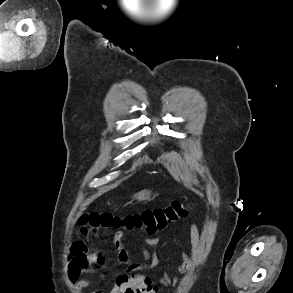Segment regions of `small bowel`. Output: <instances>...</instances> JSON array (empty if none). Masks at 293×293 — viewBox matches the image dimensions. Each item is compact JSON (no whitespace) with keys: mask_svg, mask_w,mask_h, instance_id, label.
Segmentation results:
<instances>
[{"mask_svg":"<svg viewBox=\"0 0 293 293\" xmlns=\"http://www.w3.org/2000/svg\"><path fill=\"white\" fill-rule=\"evenodd\" d=\"M209 221L206 220V223ZM167 226V225H166ZM166 226L146 231L142 235L144 241L151 247L156 248L159 245V239L153 235L156 232L162 231ZM129 234L123 231L117 232L110 236V241L113 243L112 249H101L90 243L92 239L77 240L70 246L67 267V279L74 286L77 291H82L93 287L98 281H91L87 279H80L82 274H94L95 268L106 270L110 262L115 265L124 264L130 270H136L140 267L132 263L129 259L127 250L123 245V240ZM189 235L191 249L190 252L182 251L180 253L181 263L176 267L179 273L184 272L194 261L199 259L202 253L201 249V233L197 225H189ZM141 255L145 264L149 268H155L159 264L158 257L155 252L149 253L146 249L140 248ZM178 279L170 275L164 274L159 279V284L163 286H174ZM158 284L152 282L149 278L141 275H126L121 274L116 278L115 283L107 290H94L91 293H157Z\"/></svg>","mask_w":293,"mask_h":293,"instance_id":"obj_1","label":"small bowel"}]
</instances>
